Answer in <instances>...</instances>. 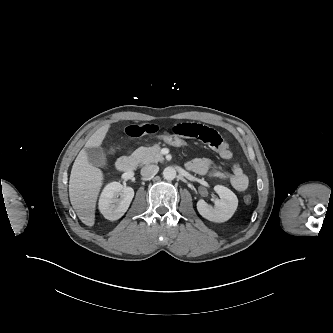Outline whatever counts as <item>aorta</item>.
<instances>
[{
  "mask_svg": "<svg viewBox=\"0 0 333 333\" xmlns=\"http://www.w3.org/2000/svg\"><path fill=\"white\" fill-rule=\"evenodd\" d=\"M163 177L166 180H173L176 177V170L173 167H166L163 171Z\"/></svg>",
  "mask_w": 333,
  "mask_h": 333,
  "instance_id": "aorta-1",
  "label": "aorta"
}]
</instances>
